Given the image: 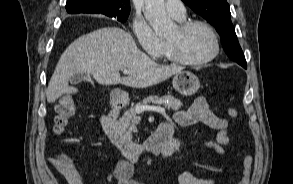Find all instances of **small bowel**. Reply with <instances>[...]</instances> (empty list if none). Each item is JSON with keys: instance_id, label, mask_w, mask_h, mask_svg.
Returning <instances> with one entry per match:
<instances>
[{"instance_id": "small-bowel-1", "label": "small bowel", "mask_w": 293, "mask_h": 184, "mask_svg": "<svg viewBox=\"0 0 293 184\" xmlns=\"http://www.w3.org/2000/svg\"><path fill=\"white\" fill-rule=\"evenodd\" d=\"M173 119L181 126H191L198 122L215 129L217 137L215 141L205 143V145L217 153H222L223 146L229 142L228 121L217 116L208 106L207 101L203 97H197L186 110H179L173 115ZM183 144L181 138H174L169 151L161 154V158L165 159L177 150ZM54 167L66 178L69 184H83L81 174L78 167L72 163L53 161ZM134 169L131 163L126 160H119L113 171L109 174V181L114 184H140L132 179ZM175 184H213V180L209 178L198 177L191 172H182Z\"/></svg>"}]
</instances>
